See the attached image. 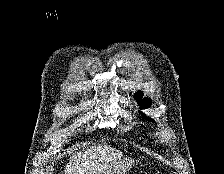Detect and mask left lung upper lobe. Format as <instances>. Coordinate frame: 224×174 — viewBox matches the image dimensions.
Returning a JSON list of instances; mask_svg holds the SVG:
<instances>
[{
    "label": "left lung upper lobe",
    "instance_id": "obj_1",
    "mask_svg": "<svg viewBox=\"0 0 224 174\" xmlns=\"http://www.w3.org/2000/svg\"><path fill=\"white\" fill-rule=\"evenodd\" d=\"M142 97H143V93L140 92V91L139 92H136L135 95H134V98L136 99V101L140 103V109H145V108L150 107V105H151V99L150 98H144V99H142ZM142 115L147 120L154 122L153 119H151L149 117H146V115H144L143 113H142Z\"/></svg>",
    "mask_w": 224,
    "mask_h": 174
}]
</instances>
